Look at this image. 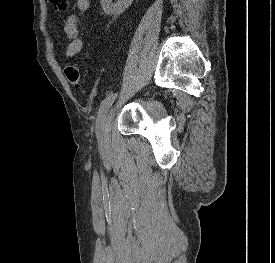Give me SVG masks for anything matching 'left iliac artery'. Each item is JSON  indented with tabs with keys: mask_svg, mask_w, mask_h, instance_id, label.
<instances>
[{
	"mask_svg": "<svg viewBox=\"0 0 275 263\" xmlns=\"http://www.w3.org/2000/svg\"><path fill=\"white\" fill-rule=\"evenodd\" d=\"M117 93H112L109 96H107L101 103L99 112H98V117H97V121H96V133L99 137V128H100V124L105 116V114L107 113L108 109L110 108V106L113 104V102L115 101V99L117 98Z\"/></svg>",
	"mask_w": 275,
	"mask_h": 263,
	"instance_id": "left-iliac-artery-1",
	"label": "left iliac artery"
}]
</instances>
